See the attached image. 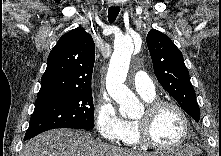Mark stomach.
<instances>
[{"mask_svg":"<svg viewBox=\"0 0 221 156\" xmlns=\"http://www.w3.org/2000/svg\"><path fill=\"white\" fill-rule=\"evenodd\" d=\"M184 152L183 149H177L172 155L166 154V155H156V156H183Z\"/></svg>","mask_w":221,"mask_h":156,"instance_id":"1","label":"stomach"}]
</instances>
